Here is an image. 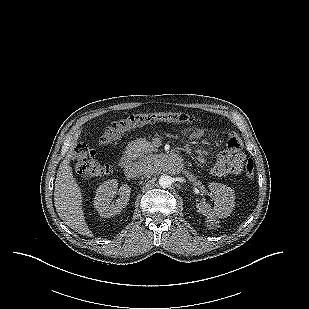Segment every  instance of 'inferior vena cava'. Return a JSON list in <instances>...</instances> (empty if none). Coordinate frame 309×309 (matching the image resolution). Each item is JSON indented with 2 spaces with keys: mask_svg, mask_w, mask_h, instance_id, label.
<instances>
[{
  "mask_svg": "<svg viewBox=\"0 0 309 309\" xmlns=\"http://www.w3.org/2000/svg\"><path fill=\"white\" fill-rule=\"evenodd\" d=\"M125 173L128 177H136L142 173L149 174L150 170H148L147 166L142 163H134L125 170Z\"/></svg>",
  "mask_w": 309,
  "mask_h": 309,
  "instance_id": "obj_1",
  "label": "inferior vena cava"
}]
</instances>
